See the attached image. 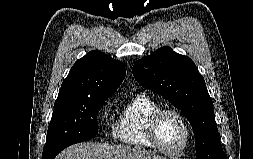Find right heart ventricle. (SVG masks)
I'll return each instance as SVG.
<instances>
[{
	"mask_svg": "<svg viewBox=\"0 0 253 159\" xmlns=\"http://www.w3.org/2000/svg\"><path fill=\"white\" fill-rule=\"evenodd\" d=\"M160 108V104L148 95L134 96L122 109L114 125L115 140L135 149H153L147 136V125L150 117Z\"/></svg>",
	"mask_w": 253,
	"mask_h": 159,
	"instance_id": "right-heart-ventricle-1",
	"label": "right heart ventricle"
}]
</instances>
